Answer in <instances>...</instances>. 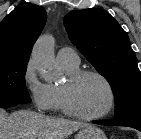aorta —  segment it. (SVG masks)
<instances>
[{"label":"aorta","instance_id":"aorta-1","mask_svg":"<svg viewBox=\"0 0 141 139\" xmlns=\"http://www.w3.org/2000/svg\"><path fill=\"white\" fill-rule=\"evenodd\" d=\"M54 43L52 35H41L31 53L32 63L45 81L54 78Z\"/></svg>","mask_w":141,"mask_h":139}]
</instances>
